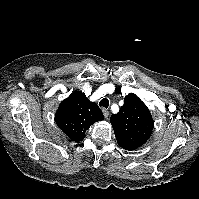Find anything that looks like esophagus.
I'll return each mask as SVG.
<instances>
[{
	"mask_svg": "<svg viewBox=\"0 0 199 199\" xmlns=\"http://www.w3.org/2000/svg\"><path fill=\"white\" fill-rule=\"evenodd\" d=\"M102 111H103L104 117L108 118L109 117V111L105 108H103Z\"/></svg>",
	"mask_w": 199,
	"mask_h": 199,
	"instance_id": "1",
	"label": "esophagus"
}]
</instances>
